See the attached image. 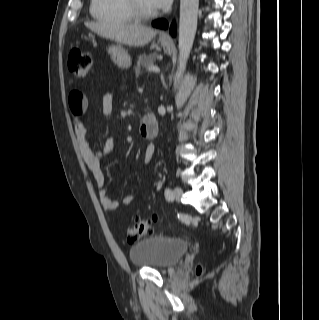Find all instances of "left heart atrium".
Returning a JSON list of instances; mask_svg holds the SVG:
<instances>
[{
	"mask_svg": "<svg viewBox=\"0 0 319 320\" xmlns=\"http://www.w3.org/2000/svg\"><path fill=\"white\" fill-rule=\"evenodd\" d=\"M172 0H149L150 5L154 9H165L169 7L171 4Z\"/></svg>",
	"mask_w": 319,
	"mask_h": 320,
	"instance_id": "left-heart-atrium-1",
	"label": "left heart atrium"
}]
</instances>
